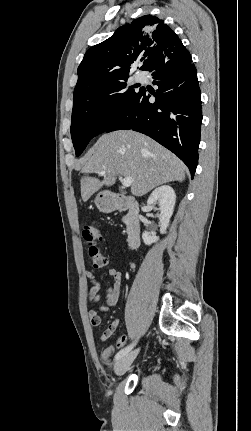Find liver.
<instances>
[{
	"label": "liver",
	"mask_w": 251,
	"mask_h": 431,
	"mask_svg": "<svg viewBox=\"0 0 251 431\" xmlns=\"http://www.w3.org/2000/svg\"><path fill=\"white\" fill-rule=\"evenodd\" d=\"M105 170L104 179L88 176ZM187 168L169 150L153 139L134 131L102 135L83 158L81 197L86 202L103 186L116 182V175L132 178L131 193L140 197L155 187L185 179Z\"/></svg>",
	"instance_id": "liver-1"
}]
</instances>
